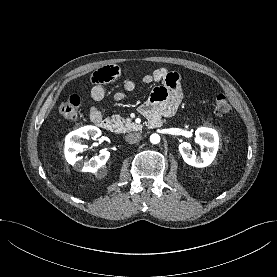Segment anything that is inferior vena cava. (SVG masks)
<instances>
[{
    "label": "inferior vena cava",
    "instance_id": "1",
    "mask_svg": "<svg viewBox=\"0 0 277 277\" xmlns=\"http://www.w3.org/2000/svg\"><path fill=\"white\" fill-rule=\"evenodd\" d=\"M141 134L138 133V132H132V133H128L126 136H125V140L126 142H128L129 144H133V143H136V142H139L141 140Z\"/></svg>",
    "mask_w": 277,
    "mask_h": 277
}]
</instances>
